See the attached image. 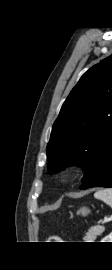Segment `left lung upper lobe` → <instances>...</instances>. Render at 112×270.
<instances>
[{"label": "left lung upper lobe", "instance_id": "1", "mask_svg": "<svg viewBox=\"0 0 112 270\" xmlns=\"http://www.w3.org/2000/svg\"><path fill=\"white\" fill-rule=\"evenodd\" d=\"M112 145V55L91 67L72 89L47 145L48 172L83 168V181L100 169Z\"/></svg>", "mask_w": 112, "mask_h": 270}]
</instances>
